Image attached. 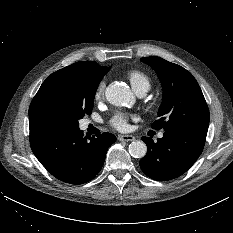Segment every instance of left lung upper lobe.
<instances>
[{
  "mask_svg": "<svg viewBox=\"0 0 233 233\" xmlns=\"http://www.w3.org/2000/svg\"><path fill=\"white\" fill-rule=\"evenodd\" d=\"M141 61L155 70L163 87V100L158 112L160 119L152 127L165 131L183 127L208 130V106L193 75L160 57H145Z\"/></svg>",
  "mask_w": 233,
  "mask_h": 233,
  "instance_id": "1",
  "label": "left lung upper lobe"
}]
</instances>
